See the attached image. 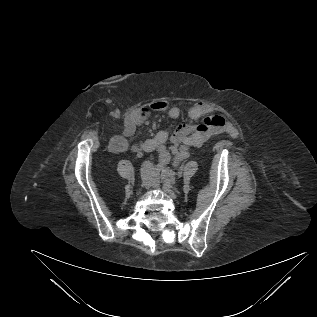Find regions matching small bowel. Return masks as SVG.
Instances as JSON below:
<instances>
[{
  "label": "small bowel",
  "mask_w": 317,
  "mask_h": 317,
  "mask_svg": "<svg viewBox=\"0 0 317 317\" xmlns=\"http://www.w3.org/2000/svg\"><path fill=\"white\" fill-rule=\"evenodd\" d=\"M151 109L165 111L171 119H178L181 116V110L177 106L170 105L167 100L153 102ZM210 112L211 109L208 104L204 102L195 103L188 110L191 123L180 124L172 134L164 130L159 131L152 138L134 143L131 150L139 156L142 151H157L163 164L169 163L171 154L174 155L177 161H183L190 156V147H201L210 137L220 131L226 130L229 133H234V128L225 121L224 117L210 115ZM139 123L136 119H127L121 128V133L111 138L109 150L113 153H121L127 150L129 147L127 138L135 133ZM169 139L172 146L168 150L165 143Z\"/></svg>",
  "instance_id": "small-bowel-1"
}]
</instances>
